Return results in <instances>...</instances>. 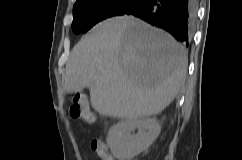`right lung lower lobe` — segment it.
<instances>
[{"instance_id":"1","label":"right lung lower lobe","mask_w":242,"mask_h":160,"mask_svg":"<svg viewBox=\"0 0 242 160\" xmlns=\"http://www.w3.org/2000/svg\"><path fill=\"white\" fill-rule=\"evenodd\" d=\"M197 0H143L126 15L143 19L164 29L178 41L189 45L196 17Z\"/></svg>"}]
</instances>
